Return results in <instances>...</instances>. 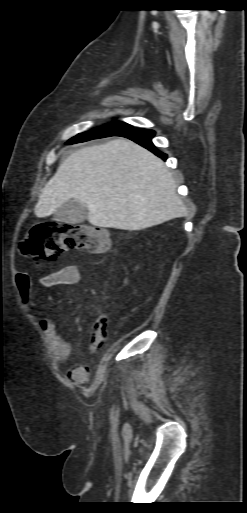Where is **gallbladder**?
<instances>
[{"mask_svg": "<svg viewBox=\"0 0 247 513\" xmlns=\"http://www.w3.org/2000/svg\"><path fill=\"white\" fill-rule=\"evenodd\" d=\"M88 209L76 200H69L54 213V219L70 224H79L86 220Z\"/></svg>", "mask_w": 247, "mask_h": 513, "instance_id": "bac80fb5", "label": "gallbladder"}]
</instances>
